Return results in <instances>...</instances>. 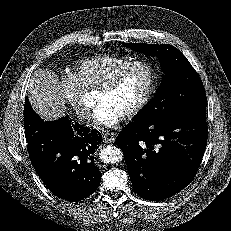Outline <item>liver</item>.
Segmentation results:
<instances>
[{"label":"liver","instance_id":"1","mask_svg":"<svg viewBox=\"0 0 231 231\" xmlns=\"http://www.w3.org/2000/svg\"><path fill=\"white\" fill-rule=\"evenodd\" d=\"M29 101L36 113L46 121L57 120L66 113L59 78L51 70H38L28 85Z\"/></svg>","mask_w":231,"mask_h":231}]
</instances>
